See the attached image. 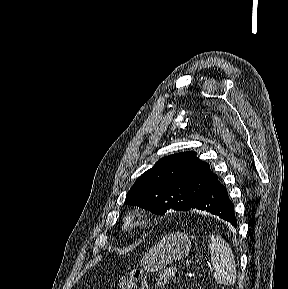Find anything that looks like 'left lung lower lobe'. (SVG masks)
Segmentation results:
<instances>
[{
    "label": "left lung lower lobe",
    "mask_w": 288,
    "mask_h": 289,
    "mask_svg": "<svg viewBox=\"0 0 288 289\" xmlns=\"http://www.w3.org/2000/svg\"><path fill=\"white\" fill-rule=\"evenodd\" d=\"M190 209L210 212L234 227L237 226L233 203L228 197L227 189L218 180L194 202Z\"/></svg>",
    "instance_id": "1"
}]
</instances>
